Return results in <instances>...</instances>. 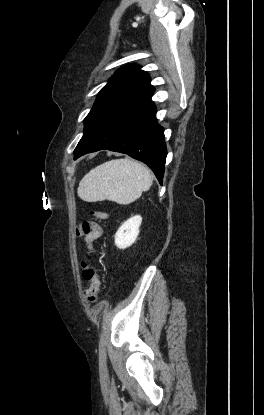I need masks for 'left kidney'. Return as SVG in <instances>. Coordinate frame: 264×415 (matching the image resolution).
<instances>
[{
    "instance_id": "5707ae66",
    "label": "left kidney",
    "mask_w": 264,
    "mask_h": 415,
    "mask_svg": "<svg viewBox=\"0 0 264 415\" xmlns=\"http://www.w3.org/2000/svg\"><path fill=\"white\" fill-rule=\"evenodd\" d=\"M142 222L140 215L133 216L125 221L115 234V245L119 249L131 246L137 239Z\"/></svg>"
}]
</instances>
